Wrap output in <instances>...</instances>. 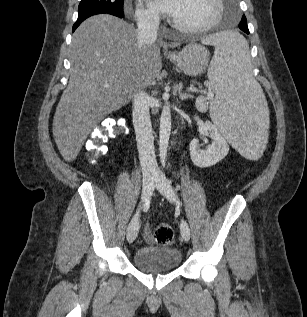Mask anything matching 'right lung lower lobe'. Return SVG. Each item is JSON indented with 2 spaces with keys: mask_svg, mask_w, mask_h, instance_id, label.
I'll return each instance as SVG.
<instances>
[{
  "mask_svg": "<svg viewBox=\"0 0 307 317\" xmlns=\"http://www.w3.org/2000/svg\"><path fill=\"white\" fill-rule=\"evenodd\" d=\"M103 12H93V13H89V14H85V15H81V16H78V19L76 21V23L73 25V32L76 30V28L88 17L90 16H93V15H96V14H102ZM124 16V14L120 15V16H117V17H120L122 18Z\"/></svg>",
  "mask_w": 307,
  "mask_h": 317,
  "instance_id": "1",
  "label": "right lung lower lobe"
}]
</instances>
